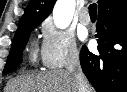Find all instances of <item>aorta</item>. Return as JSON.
I'll return each instance as SVG.
<instances>
[{
  "label": "aorta",
  "mask_w": 127,
  "mask_h": 92,
  "mask_svg": "<svg viewBox=\"0 0 127 92\" xmlns=\"http://www.w3.org/2000/svg\"><path fill=\"white\" fill-rule=\"evenodd\" d=\"M75 0H58L53 9V21L57 28L65 29L72 21Z\"/></svg>",
  "instance_id": "obj_1"
}]
</instances>
